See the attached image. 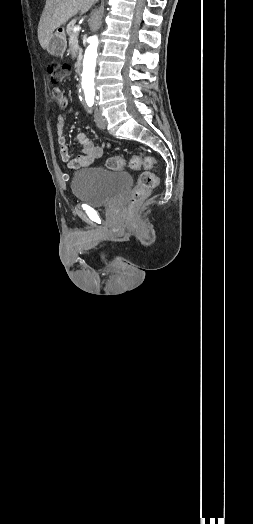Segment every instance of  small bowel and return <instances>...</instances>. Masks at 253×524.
Masks as SVG:
<instances>
[{
    "instance_id": "small-bowel-1",
    "label": "small bowel",
    "mask_w": 253,
    "mask_h": 524,
    "mask_svg": "<svg viewBox=\"0 0 253 524\" xmlns=\"http://www.w3.org/2000/svg\"><path fill=\"white\" fill-rule=\"evenodd\" d=\"M52 94L60 107L66 108L68 106V99L59 88H54ZM64 128L65 118L59 116L56 120V133L60 145V156L62 161L66 163L69 168H85L90 166L95 160L103 157L104 147L108 144L95 145L85 133H79L77 135V140L82 146V154L71 157L67 146V139L64 135Z\"/></svg>"
}]
</instances>
